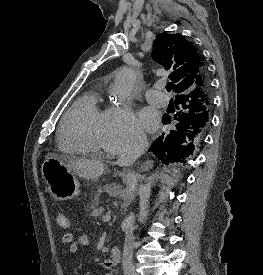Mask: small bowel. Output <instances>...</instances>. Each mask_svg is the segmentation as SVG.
Wrapping results in <instances>:
<instances>
[{
    "instance_id": "obj_1",
    "label": "small bowel",
    "mask_w": 263,
    "mask_h": 275,
    "mask_svg": "<svg viewBox=\"0 0 263 275\" xmlns=\"http://www.w3.org/2000/svg\"><path fill=\"white\" fill-rule=\"evenodd\" d=\"M67 235L68 238H66V235L62 236V242L68 245V249L71 254H76L79 251L80 246H87L90 243V239L87 234H81L77 240H74L71 233H68ZM104 275H113V272L106 271Z\"/></svg>"
}]
</instances>
